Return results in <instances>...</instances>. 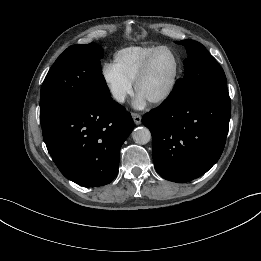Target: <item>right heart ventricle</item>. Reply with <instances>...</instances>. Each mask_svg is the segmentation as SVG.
<instances>
[{
    "mask_svg": "<svg viewBox=\"0 0 261 261\" xmlns=\"http://www.w3.org/2000/svg\"><path fill=\"white\" fill-rule=\"evenodd\" d=\"M159 46H130L118 50L113 57V66L129 81L134 82L146 58Z\"/></svg>",
    "mask_w": 261,
    "mask_h": 261,
    "instance_id": "right-heart-ventricle-1",
    "label": "right heart ventricle"
}]
</instances>
